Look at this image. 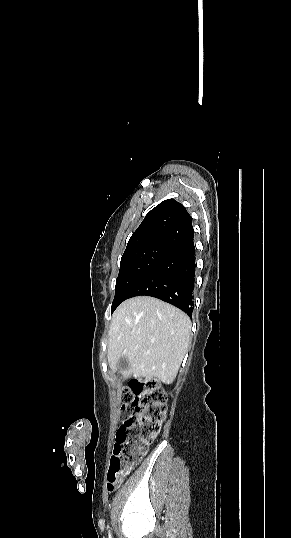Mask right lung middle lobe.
Returning a JSON list of instances; mask_svg holds the SVG:
<instances>
[{"label": "right lung middle lobe", "instance_id": "dd1d6c3e", "mask_svg": "<svg viewBox=\"0 0 291 538\" xmlns=\"http://www.w3.org/2000/svg\"><path fill=\"white\" fill-rule=\"evenodd\" d=\"M170 250L163 246H148L123 254L111 313L129 298L138 283Z\"/></svg>", "mask_w": 291, "mask_h": 538}]
</instances>
